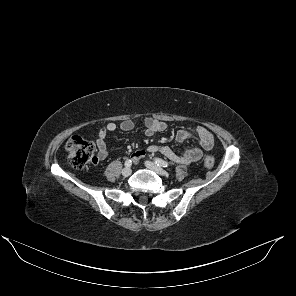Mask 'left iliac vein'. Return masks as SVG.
I'll use <instances>...</instances> for the list:
<instances>
[{
	"label": "left iliac vein",
	"mask_w": 296,
	"mask_h": 296,
	"mask_svg": "<svg viewBox=\"0 0 296 296\" xmlns=\"http://www.w3.org/2000/svg\"><path fill=\"white\" fill-rule=\"evenodd\" d=\"M145 166L154 171L155 173H157L158 175H161V176H167L168 173L161 167L157 166L155 163L151 162V161H146L145 162Z\"/></svg>",
	"instance_id": "obj_1"
}]
</instances>
